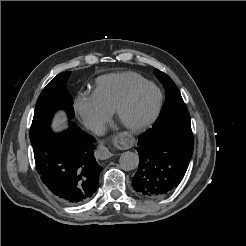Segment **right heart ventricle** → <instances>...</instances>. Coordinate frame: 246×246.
I'll use <instances>...</instances> for the list:
<instances>
[{
    "instance_id": "obj_1",
    "label": "right heart ventricle",
    "mask_w": 246,
    "mask_h": 246,
    "mask_svg": "<svg viewBox=\"0 0 246 246\" xmlns=\"http://www.w3.org/2000/svg\"><path fill=\"white\" fill-rule=\"evenodd\" d=\"M147 81L142 75L131 71L106 74L97 78L93 96L112 112L130 90Z\"/></svg>"
}]
</instances>
